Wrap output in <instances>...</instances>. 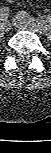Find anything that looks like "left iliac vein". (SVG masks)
I'll list each match as a JSON object with an SVG mask.
<instances>
[{
    "instance_id": "1",
    "label": "left iliac vein",
    "mask_w": 51,
    "mask_h": 153,
    "mask_svg": "<svg viewBox=\"0 0 51 153\" xmlns=\"http://www.w3.org/2000/svg\"><path fill=\"white\" fill-rule=\"evenodd\" d=\"M13 25L18 28H25V29H31L33 31L42 33L45 32L47 29L39 24L31 23L24 19L21 13H18L13 18Z\"/></svg>"
}]
</instances>
